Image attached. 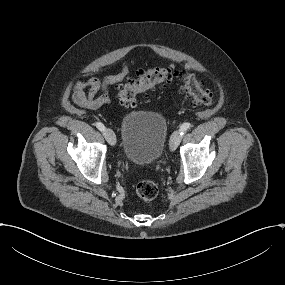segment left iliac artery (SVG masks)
<instances>
[{"mask_svg": "<svg viewBox=\"0 0 285 285\" xmlns=\"http://www.w3.org/2000/svg\"><path fill=\"white\" fill-rule=\"evenodd\" d=\"M190 123H183L180 127V133L181 135H184L186 131L189 129Z\"/></svg>", "mask_w": 285, "mask_h": 285, "instance_id": "obj_1", "label": "left iliac artery"}]
</instances>
